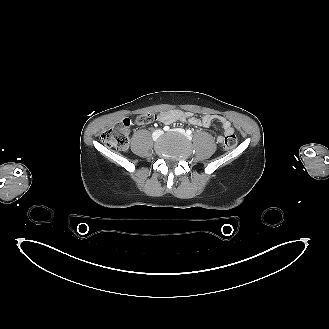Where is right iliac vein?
<instances>
[{
	"label": "right iliac vein",
	"instance_id": "1",
	"mask_svg": "<svg viewBox=\"0 0 329 329\" xmlns=\"http://www.w3.org/2000/svg\"><path fill=\"white\" fill-rule=\"evenodd\" d=\"M161 134H162V131L161 130H157V131L154 132L153 138L154 139H157Z\"/></svg>",
	"mask_w": 329,
	"mask_h": 329
}]
</instances>
